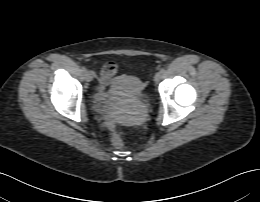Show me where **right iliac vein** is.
Segmentation results:
<instances>
[{"label": "right iliac vein", "instance_id": "right-iliac-vein-1", "mask_svg": "<svg viewBox=\"0 0 260 202\" xmlns=\"http://www.w3.org/2000/svg\"><path fill=\"white\" fill-rule=\"evenodd\" d=\"M84 78L87 82H90L92 80V74L90 71H85L84 72Z\"/></svg>", "mask_w": 260, "mask_h": 202}]
</instances>
